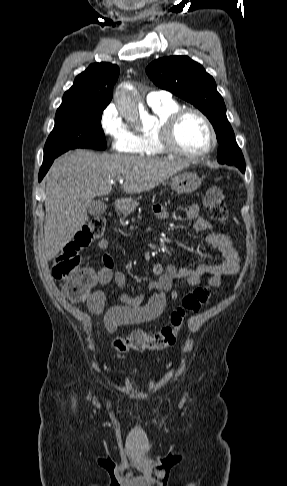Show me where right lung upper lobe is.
Returning a JSON list of instances; mask_svg holds the SVG:
<instances>
[{
  "instance_id": "right-lung-upper-lobe-1",
  "label": "right lung upper lobe",
  "mask_w": 287,
  "mask_h": 486,
  "mask_svg": "<svg viewBox=\"0 0 287 486\" xmlns=\"http://www.w3.org/2000/svg\"><path fill=\"white\" fill-rule=\"evenodd\" d=\"M119 67L111 63H93L79 74L73 86L64 93L62 106L86 103L109 104Z\"/></svg>"
}]
</instances>
